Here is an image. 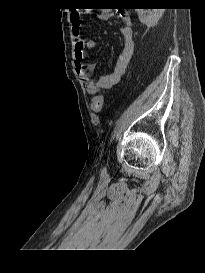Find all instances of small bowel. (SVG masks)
Here are the masks:
<instances>
[{
    "label": "small bowel",
    "instance_id": "small-bowel-1",
    "mask_svg": "<svg viewBox=\"0 0 205 273\" xmlns=\"http://www.w3.org/2000/svg\"><path fill=\"white\" fill-rule=\"evenodd\" d=\"M111 15L112 14L109 10H104L100 14V18L107 19L111 17ZM120 17L124 22V26L120 29V33L124 40L123 49L115 61L113 71L109 74L101 76L98 81H94L91 74L95 68V65L88 64L87 66H84L83 60L85 51L93 50L96 47V42L91 39L85 40L81 38L80 26L82 23V16L79 13L71 14V24L75 37V67L90 94L95 95L115 86L125 73L126 67L133 55L134 40L131 18L125 13L120 14Z\"/></svg>",
    "mask_w": 205,
    "mask_h": 273
}]
</instances>
